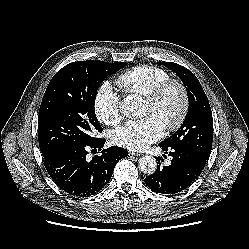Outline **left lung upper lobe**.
Masks as SVG:
<instances>
[{
  "instance_id": "left-lung-upper-lobe-1",
  "label": "left lung upper lobe",
  "mask_w": 249,
  "mask_h": 249,
  "mask_svg": "<svg viewBox=\"0 0 249 249\" xmlns=\"http://www.w3.org/2000/svg\"><path fill=\"white\" fill-rule=\"evenodd\" d=\"M163 65L173 70L184 83L189 109L182 126L160 144L193 151L207 160L213 141V118L208 98L199 80L190 70L172 62H163Z\"/></svg>"
}]
</instances>
